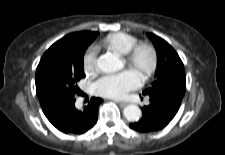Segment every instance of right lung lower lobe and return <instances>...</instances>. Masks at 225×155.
Masks as SVG:
<instances>
[{
	"instance_id": "98d812e1",
	"label": "right lung lower lobe",
	"mask_w": 225,
	"mask_h": 155,
	"mask_svg": "<svg viewBox=\"0 0 225 155\" xmlns=\"http://www.w3.org/2000/svg\"><path fill=\"white\" fill-rule=\"evenodd\" d=\"M102 99L93 97L83 111L75 108V99L60 98L42 106L50 123L59 131L83 134L97 122L98 107Z\"/></svg>"
}]
</instances>
